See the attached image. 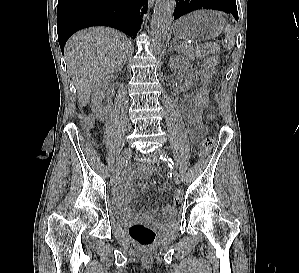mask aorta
Returning <instances> with one entry per match:
<instances>
[{
    "label": "aorta",
    "mask_w": 299,
    "mask_h": 273,
    "mask_svg": "<svg viewBox=\"0 0 299 273\" xmlns=\"http://www.w3.org/2000/svg\"><path fill=\"white\" fill-rule=\"evenodd\" d=\"M175 0H157L151 20V36L153 38V51L160 52L169 34Z\"/></svg>",
    "instance_id": "obj_1"
}]
</instances>
